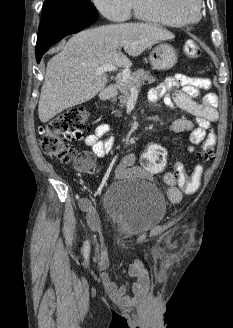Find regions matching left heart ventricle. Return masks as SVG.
Masks as SVG:
<instances>
[{"instance_id":"left-heart-ventricle-1","label":"left heart ventricle","mask_w":233,"mask_h":328,"mask_svg":"<svg viewBox=\"0 0 233 328\" xmlns=\"http://www.w3.org/2000/svg\"><path fill=\"white\" fill-rule=\"evenodd\" d=\"M184 3L182 4V11L186 15H192L195 12L196 4L194 3V0H184Z\"/></svg>"}]
</instances>
